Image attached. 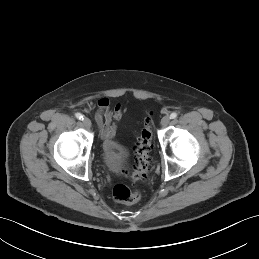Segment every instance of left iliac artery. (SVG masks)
<instances>
[{
    "instance_id": "obj_1",
    "label": "left iliac artery",
    "mask_w": 259,
    "mask_h": 259,
    "mask_svg": "<svg viewBox=\"0 0 259 259\" xmlns=\"http://www.w3.org/2000/svg\"><path fill=\"white\" fill-rule=\"evenodd\" d=\"M177 117V113L176 112H173L170 114V118L171 119H175Z\"/></svg>"
}]
</instances>
